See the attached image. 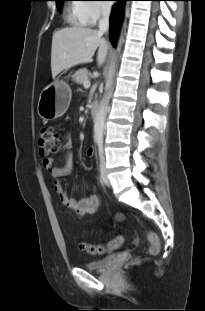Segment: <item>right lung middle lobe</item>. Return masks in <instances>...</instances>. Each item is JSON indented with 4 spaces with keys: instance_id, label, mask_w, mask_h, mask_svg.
<instances>
[{
    "instance_id": "dd1d6c3e",
    "label": "right lung middle lobe",
    "mask_w": 205,
    "mask_h": 311,
    "mask_svg": "<svg viewBox=\"0 0 205 311\" xmlns=\"http://www.w3.org/2000/svg\"><path fill=\"white\" fill-rule=\"evenodd\" d=\"M55 1H56L57 9H58L59 11H61L62 2L65 1V0H55Z\"/></svg>"
}]
</instances>
